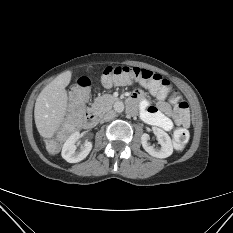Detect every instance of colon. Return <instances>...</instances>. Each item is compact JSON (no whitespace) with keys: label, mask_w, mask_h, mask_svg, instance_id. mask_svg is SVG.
I'll return each mask as SVG.
<instances>
[{"label":"colon","mask_w":233,"mask_h":233,"mask_svg":"<svg viewBox=\"0 0 233 233\" xmlns=\"http://www.w3.org/2000/svg\"><path fill=\"white\" fill-rule=\"evenodd\" d=\"M102 82L105 86L140 84L159 99L167 100L173 106V117L176 123L184 126L189 124L188 103L181 100L166 79L150 70L129 66H108L103 71ZM90 85L91 82L87 77H81L71 88L68 116L56 136L48 140L47 147L50 151H56L67 137L73 135L80 128L85 116ZM87 115L88 113L85 118ZM188 141L187 129L180 128L175 131L173 146L176 150L184 149Z\"/></svg>","instance_id":"obj_1"}]
</instances>
